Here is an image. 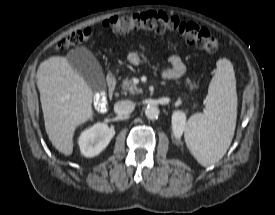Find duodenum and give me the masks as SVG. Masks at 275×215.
<instances>
[{
    "label": "duodenum",
    "mask_w": 275,
    "mask_h": 215,
    "mask_svg": "<svg viewBox=\"0 0 275 215\" xmlns=\"http://www.w3.org/2000/svg\"><path fill=\"white\" fill-rule=\"evenodd\" d=\"M116 90V77L113 73L107 75V93L111 97Z\"/></svg>",
    "instance_id": "410a0bca"
}]
</instances>
